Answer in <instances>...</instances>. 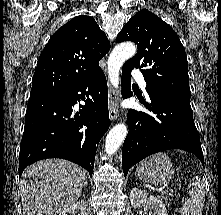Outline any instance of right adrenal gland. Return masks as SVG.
Instances as JSON below:
<instances>
[{
    "label": "right adrenal gland",
    "mask_w": 221,
    "mask_h": 215,
    "mask_svg": "<svg viewBox=\"0 0 221 215\" xmlns=\"http://www.w3.org/2000/svg\"><path fill=\"white\" fill-rule=\"evenodd\" d=\"M85 186H88V182L86 181Z\"/></svg>",
    "instance_id": "2a0ac1e0"
}]
</instances>
